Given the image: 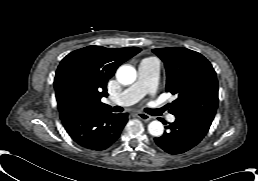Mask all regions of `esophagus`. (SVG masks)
Here are the masks:
<instances>
[{"label":"esophagus","mask_w":258,"mask_h":181,"mask_svg":"<svg viewBox=\"0 0 258 181\" xmlns=\"http://www.w3.org/2000/svg\"><path fill=\"white\" fill-rule=\"evenodd\" d=\"M137 117L145 122H148L152 119V117L150 115L143 113V112H138Z\"/></svg>","instance_id":"obj_1"}]
</instances>
